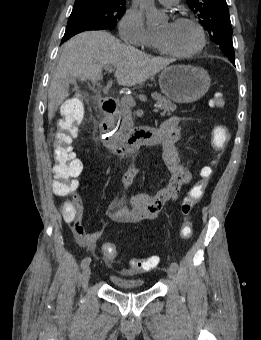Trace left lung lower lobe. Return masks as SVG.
Returning <instances> with one entry per match:
<instances>
[{
    "label": "left lung lower lobe",
    "mask_w": 261,
    "mask_h": 340,
    "mask_svg": "<svg viewBox=\"0 0 261 340\" xmlns=\"http://www.w3.org/2000/svg\"><path fill=\"white\" fill-rule=\"evenodd\" d=\"M231 63L235 65V61L233 59H230Z\"/></svg>",
    "instance_id": "1"
}]
</instances>
